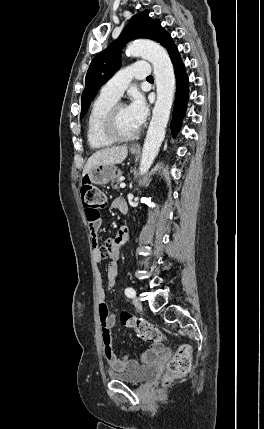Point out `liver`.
<instances>
[{"mask_svg":"<svg viewBox=\"0 0 264 429\" xmlns=\"http://www.w3.org/2000/svg\"><path fill=\"white\" fill-rule=\"evenodd\" d=\"M128 154L126 146H117L105 148L96 151L90 158L83 169V176L88 174L93 168L99 165H114L123 162Z\"/></svg>","mask_w":264,"mask_h":429,"instance_id":"obj_1","label":"liver"}]
</instances>
